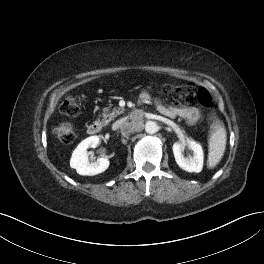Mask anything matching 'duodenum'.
Masks as SVG:
<instances>
[{"label": "duodenum", "instance_id": "obj_1", "mask_svg": "<svg viewBox=\"0 0 264 264\" xmlns=\"http://www.w3.org/2000/svg\"><path fill=\"white\" fill-rule=\"evenodd\" d=\"M101 130L102 124L98 121L91 123L87 128V132L89 135H98Z\"/></svg>", "mask_w": 264, "mask_h": 264}]
</instances>
